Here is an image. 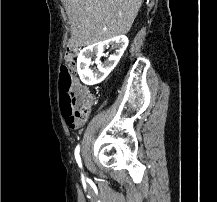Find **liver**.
<instances>
[{"instance_id": "obj_1", "label": "liver", "mask_w": 217, "mask_h": 202, "mask_svg": "<svg viewBox=\"0 0 217 202\" xmlns=\"http://www.w3.org/2000/svg\"><path fill=\"white\" fill-rule=\"evenodd\" d=\"M71 24L69 46H90L129 32L142 0H62Z\"/></svg>"}]
</instances>
